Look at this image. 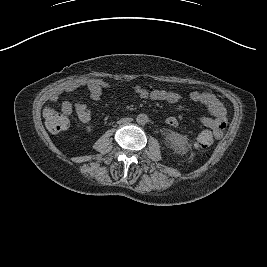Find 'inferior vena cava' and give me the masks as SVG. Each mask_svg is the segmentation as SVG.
<instances>
[{
    "label": "inferior vena cava",
    "mask_w": 267,
    "mask_h": 267,
    "mask_svg": "<svg viewBox=\"0 0 267 267\" xmlns=\"http://www.w3.org/2000/svg\"><path fill=\"white\" fill-rule=\"evenodd\" d=\"M131 120H132L131 118H127V120H126V121H127V122H130Z\"/></svg>",
    "instance_id": "1"
}]
</instances>
